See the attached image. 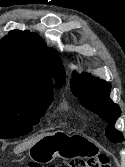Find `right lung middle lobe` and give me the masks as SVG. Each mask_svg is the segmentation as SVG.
Segmentation results:
<instances>
[{"mask_svg": "<svg viewBox=\"0 0 125 167\" xmlns=\"http://www.w3.org/2000/svg\"><path fill=\"white\" fill-rule=\"evenodd\" d=\"M52 89L29 97L0 93V138L28 134L53 101Z\"/></svg>", "mask_w": 125, "mask_h": 167, "instance_id": "dd1d6c3e", "label": "right lung middle lobe"}]
</instances>
